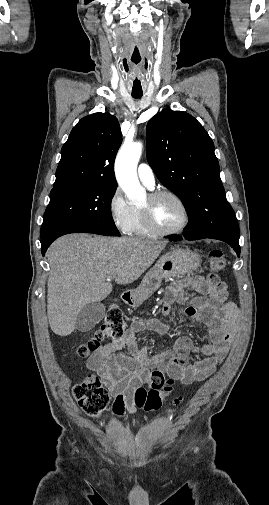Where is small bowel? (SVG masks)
Masks as SVG:
<instances>
[{
	"label": "small bowel",
	"instance_id": "1",
	"mask_svg": "<svg viewBox=\"0 0 269 505\" xmlns=\"http://www.w3.org/2000/svg\"><path fill=\"white\" fill-rule=\"evenodd\" d=\"M182 286L192 287L199 296L190 301L180 318L203 325L208 332V342L195 346L190 338L183 336L171 351L150 357L147 350L138 345L137 334L144 330L165 334L168 326L154 319L135 320L123 336L99 348L87 361V367L96 372L114 398L113 413L119 418L135 413V391L145 383L151 370L163 367L171 378L188 385L212 375L228 352L239 311L227 300L226 284L213 274L194 277L171 285L167 292L169 302L183 301ZM165 310L169 313L172 309L168 306ZM124 348L130 355L120 353ZM191 353L203 357L190 363Z\"/></svg>",
	"mask_w": 269,
	"mask_h": 505
}]
</instances>
